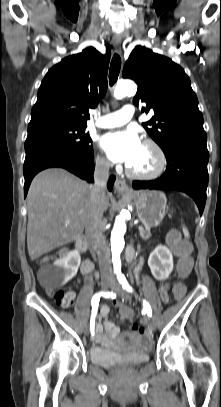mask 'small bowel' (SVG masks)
<instances>
[{
    "instance_id": "obj_1",
    "label": "small bowel",
    "mask_w": 221,
    "mask_h": 407,
    "mask_svg": "<svg viewBox=\"0 0 221 407\" xmlns=\"http://www.w3.org/2000/svg\"><path fill=\"white\" fill-rule=\"evenodd\" d=\"M141 265H142V262H140L137 267V270H136L137 273L140 271ZM171 285H172V283L170 281H168L160 287V295H161L163 302L169 301V289H170ZM68 293L74 299V297H75L74 292L70 291ZM113 305L118 307L119 305H125V304L120 302L117 299H113ZM109 312H110V307L108 305H102L99 309V318H100L101 322L97 323V325H96L95 342L102 344V345L108 344L113 338L121 335L120 328L115 323H113L112 321H110L108 319ZM138 327H140V326L137 325V328ZM142 334L143 333H135L133 331V338L139 339L142 336Z\"/></svg>"
}]
</instances>
